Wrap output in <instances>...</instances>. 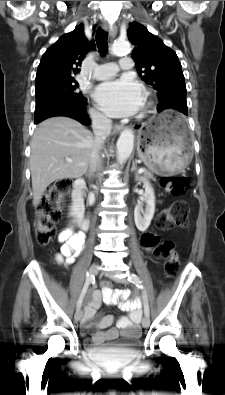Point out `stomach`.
Returning <instances> with one entry per match:
<instances>
[{
	"label": "stomach",
	"instance_id": "0dacf381",
	"mask_svg": "<svg viewBox=\"0 0 225 395\" xmlns=\"http://www.w3.org/2000/svg\"><path fill=\"white\" fill-rule=\"evenodd\" d=\"M137 152L155 173L181 172L193 155L183 116L174 110H166L145 123L139 130Z\"/></svg>",
	"mask_w": 225,
	"mask_h": 395
}]
</instances>
